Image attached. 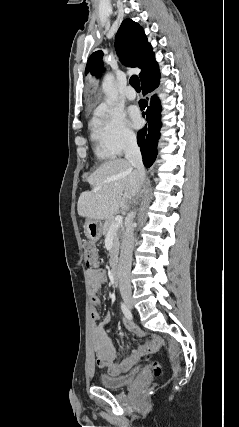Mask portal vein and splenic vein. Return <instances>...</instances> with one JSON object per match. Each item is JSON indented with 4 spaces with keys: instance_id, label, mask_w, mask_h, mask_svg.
I'll return each mask as SVG.
<instances>
[{
    "instance_id": "portal-vein-and-splenic-vein-1",
    "label": "portal vein and splenic vein",
    "mask_w": 239,
    "mask_h": 427,
    "mask_svg": "<svg viewBox=\"0 0 239 427\" xmlns=\"http://www.w3.org/2000/svg\"><path fill=\"white\" fill-rule=\"evenodd\" d=\"M123 224V217L122 216H116L115 222L111 225L110 230H117L121 225Z\"/></svg>"
}]
</instances>
